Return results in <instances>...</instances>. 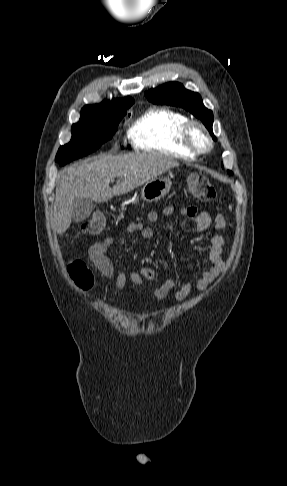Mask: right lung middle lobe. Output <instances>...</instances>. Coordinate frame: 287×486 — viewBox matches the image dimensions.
I'll use <instances>...</instances> for the list:
<instances>
[{"instance_id":"right-lung-middle-lobe-1","label":"right lung middle lobe","mask_w":287,"mask_h":486,"mask_svg":"<svg viewBox=\"0 0 287 486\" xmlns=\"http://www.w3.org/2000/svg\"><path fill=\"white\" fill-rule=\"evenodd\" d=\"M126 113L114 114L101 110L81 111L78 123L72 125L71 141L60 147L55 161L60 166L97 150L110 140Z\"/></svg>"}]
</instances>
